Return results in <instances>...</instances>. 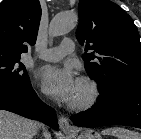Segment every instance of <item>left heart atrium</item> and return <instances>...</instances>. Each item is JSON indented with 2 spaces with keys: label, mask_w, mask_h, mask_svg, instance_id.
Returning <instances> with one entry per match:
<instances>
[{
  "label": "left heart atrium",
  "mask_w": 141,
  "mask_h": 139,
  "mask_svg": "<svg viewBox=\"0 0 141 139\" xmlns=\"http://www.w3.org/2000/svg\"><path fill=\"white\" fill-rule=\"evenodd\" d=\"M45 93L62 102H71L77 87V80L70 68L43 66L36 73Z\"/></svg>",
  "instance_id": "obj_1"
}]
</instances>
